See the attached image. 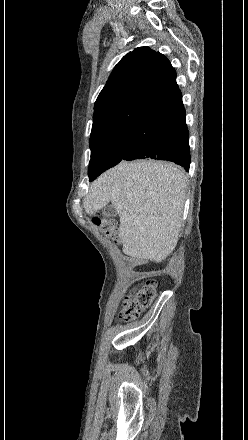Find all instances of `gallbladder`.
I'll use <instances>...</instances> for the list:
<instances>
[{"label":"gallbladder","instance_id":"gallbladder-1","mask_svg":"<svg viewBox=\"0 0 248 440\" xmlns=\"http://www.w3.org/2000/svg\"><path fill=\"white\" fill-rule=\"evenodd\" d=\"M102 215L105 218H110V217H114L116 215V210L113 207V205H107L103 208L102 210Z\"/></svg>","mask_w":248,"mask_h":440}]
</instances>
